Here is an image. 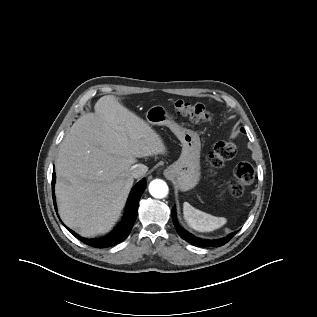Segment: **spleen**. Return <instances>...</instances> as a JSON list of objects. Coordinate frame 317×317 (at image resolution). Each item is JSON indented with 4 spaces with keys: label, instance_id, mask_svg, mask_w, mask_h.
I'll list each match as a JSON object with an SVG mask.
<instances>
[{
    "label": "spleen",
    "instance_id": "3e777b00",
    "mask_svg": "<svg viewBox=\"0 0 317 317\" xmlns=\"http://www.w3.org/2000/svg\"><path fill=\"white\" fill-rule=\"evenodd\" d=\"M183 215L187 224L198 232H211L226 224L227 219L216 217L194 208L188 202L183 204Z\"/></svg>",
    "mask_w": 317,
    "mask_h": 317
}]
</instances>
